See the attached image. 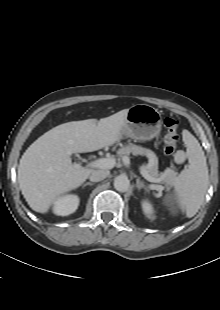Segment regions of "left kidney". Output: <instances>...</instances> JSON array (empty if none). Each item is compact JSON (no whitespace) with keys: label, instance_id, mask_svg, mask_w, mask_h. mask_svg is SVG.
<instances>
[{"label":"left kidney","instance_id":"obj_1","mask_svg":"<svg viewBox=\"0 0 220 310\" xmlns=\"http://www.w3.org/2000/svg\"><path fill=\"white\" fill-rule=\"evenodd\" d=\"M142 208H143V211L144 213L148 216V217H151L152 213H153V208H152V205L147 202V201H143L142 202Z\"/></svg>","mask_w":220,"mask_h":310}]
</instances>
